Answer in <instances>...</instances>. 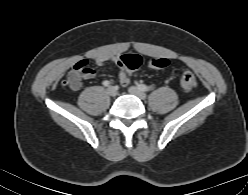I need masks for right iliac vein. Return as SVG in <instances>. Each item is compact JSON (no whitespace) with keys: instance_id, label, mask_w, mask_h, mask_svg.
<instances>
[{"instance_id":"1","label":"right iliac vein","mask_w":248,"mask_h":195,"mask_svg":"<svg viewBox=\"0 0 248 195\" xmlns=\"http://www.w3.org/2000/svg\"><path fill=\"white\" fill-rule=\"evenodd\" d=\"M107 93L112 96V97H115L117 95V89L113 86H109L107 88Z\"/></svg>"}]
</instances>
